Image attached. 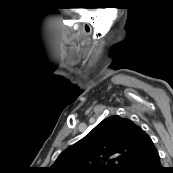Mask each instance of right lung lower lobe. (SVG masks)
<instances>
[{"mask_svg":"<svg viewBox=\"0 0 173 173\" xmlns=\"http://www.w3.org/2000/svg\"><path fill=\"white\" fill-rule=\"evenodd\" d=\"M160 157L154 147L148 153L131 160L121 173H164Z\"/></svg>","mask_w":173,"mask_h":173,"instance_id":"obj_1","label":"right lung lower lobe"}]
</instances>
